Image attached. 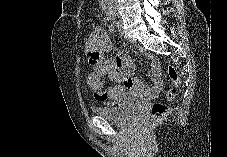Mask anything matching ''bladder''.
Masks as SVG:
<instances>
[{"mask_svg": "<svg viewBox=\"0 0 227 157\" xmlns=\"http://www.w3.org/2000/svg\"><path fill=\"white\" fill-rule=\"evenodd\" d=\"M92 113L111 123L126 126L140 118L143 113V106L137 103H129L116 107H94Z\"/></svg>", "mask_w": 227, "mask_h": 157, "instance_id": "obj_1", "label": "bladder"}]
</instances>
